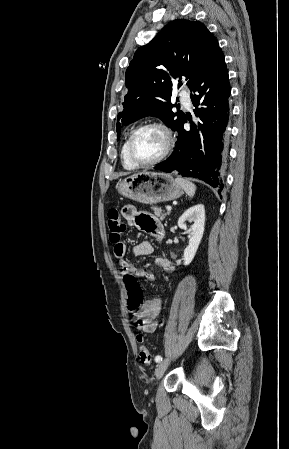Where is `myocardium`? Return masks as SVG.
<instances>
[{
	"mask_svg": "<svg viewBox=\"0 0 289 449\" xmlns=\"http://www.w3.org/2000/svg\"><path fill=\"white\" fill-rule=\"evenodd\" d=\"M149 128L157 129L162 133V135L164 137V148H163L162 153L157 158H155L151 161H148V162H140L134 156V152H133L134 140L139 132H141L142 130H145V129H149ZM173 141H174L173 133H172L171 129L165 123H163L161 121H157V120L147 121V122L137 126L129 136V140H128L129 158L138 167H148V166L155 165V164L161 162L162 160H164L168 156V154L170 153V151L172 149Z\"/></svg>",
	"mask_w": 289,
	"mask_h": 449,
	"instance_id": "obj_1",
	"label": "myocardium"
}]
</instances>
